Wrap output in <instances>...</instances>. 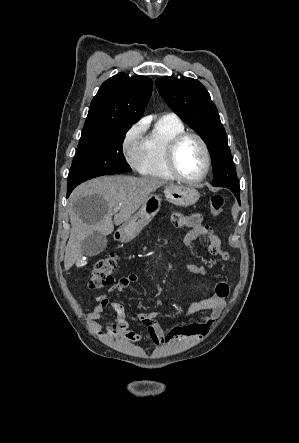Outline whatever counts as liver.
<instances>
[{
	"mask_svg": "<svg viewBox=\"0 0 299 443\" xmlns=\"http://www.w3.org/2000/svg\"><path fill=\"white\" fill-rule=\"evenodd\" d=\"M165 183L156 178L116 175L95 178L78 186L69 201L71 232L65 250V270L83 257L81 245L86 237L95 232L111 234L114 224L128 221L152 192ZM115 209L118 211L114 212Z\"/></svg>",
	"mask_w": 299,
	"mask_h": 443,
	"instance_id": "6515ba94",
	"label": "liver"
}]
</instances>
